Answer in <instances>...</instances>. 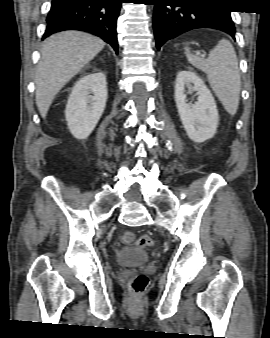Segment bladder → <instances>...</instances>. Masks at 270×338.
<instances>
[{
    "label": "bladder",
    "mask_w": 270,
    "mask_h": 338,
    "mask_svg": "<svg viewBox=\"0 0 270 338\" xmlns=\"http://www.w3.org/2000/svg\"><path fill=\"white\" fill-rule=\"evenodd\" d=\"M150 259L148 250L138 246H126L119 251L115 263L121 266H136L146 264Z\"/></svg>",
    "instance_id": "obj_1"
}]
</instances>
